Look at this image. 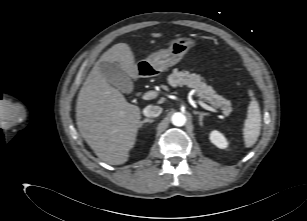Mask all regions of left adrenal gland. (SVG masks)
I'll use <instances>...</instances> for the list:
<instances>
[{"mask_svg":"<svg viewBox=\"0 0 307 221\" xmlns=\"http://www.w3.org/2000/svg\"><path fill=\"white\" fill-rule=\"evenodd\" d=\"M194 114L199 115V125L202 126L203 125V118H204V116H207L208 113L194 111Z\"/></svg>","mask_w":307,"mask_h":221,"instance_id":"a2214340","label":"left adrenal gland"}]
</instances>
